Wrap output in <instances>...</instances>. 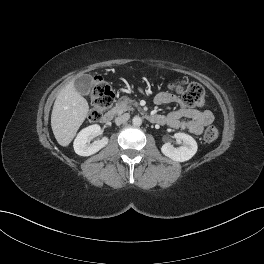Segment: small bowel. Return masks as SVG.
Returning a JSON list of instances; mask_svg holds the SVG:
<instances>
[{
  "label": "small bowel",
  "mask_w": 264,
  "mask_h": 264,
  "mask_svg": "<svg viewBox=\"0 0 264 264\" xmlns=\"http://www.w3.org/2000/svg\"><path fill=\"white\" fill-rule=\"evenodd\" d=\"M156 105L177 104L179 109L160 115L165 124L171 128L187 130L194 135H200L204 128L214 121V115L210 110H197L183 104L178 96L169 92H160L155 98Z\"/></svg>",
  "instance_id": "c3829d8e"
}]
</instances>
